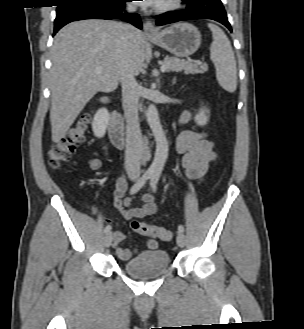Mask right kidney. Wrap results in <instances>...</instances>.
<instances>
[{
    "label": "right kidney",
    "instance_id": "ca27d5eb",
    "mask_svg": "<svg viewBox=\"0 0 304 329\" xmlns=\"http://www.w3.org/2000/svg\"><path fill=\"white\" fill-rule=\"evenodd\" d=\"M109 122V113L107 109H99L92 121V130L96 137L101 138L105 135Z\"/></svg>",
    "mask_w": 304,
    "mask_h": 329
}]
</instances>
